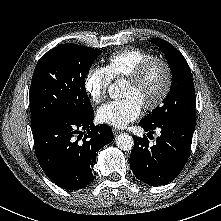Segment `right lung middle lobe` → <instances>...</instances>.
<instances>
[{"mask_svg":"<svg viewBox=\"0 0 221 221\" xmlns=\"http://www.w3.org/2000/svg\"><path fill=\"white\" fill-rule=\"evenodd\" d=\"M101 52L66 43L40 58L29 93L32 127L54 116L77 118L93 112L84 80Z\"/></svg>","mask_w":221,"mask_h":221,"instance_id":"right-lung-middle-lobe-1","label":"right lung middle lobe"}]
</instances>
